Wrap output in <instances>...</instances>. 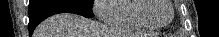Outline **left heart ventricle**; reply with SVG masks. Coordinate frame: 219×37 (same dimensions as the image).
I'll return each mask as SVG.
<instances>
[{"label":"left heart ventricle","mask_w":219,"mask_h":37,"mask_svg":"<svg viewBox=\"0 0 219 37\" xmlns=\"http://www.w3.org/2000/svg\"><path fill=\"white\" fill-rule=\"evenodd\" d=\"M154 3L153 8L147 13L148 17L156 22L163 23L170 19L171 8L166 0H151Z\"/></svg>","instance_id":"b2bd125f"}]
</instances>
